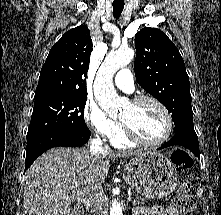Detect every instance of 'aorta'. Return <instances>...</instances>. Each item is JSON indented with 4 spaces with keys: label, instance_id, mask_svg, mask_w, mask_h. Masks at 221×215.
<instances>
[{
    "label": "aorta",
    "instance_id": "aorta-1",
    "mask_svg": "<svg viewBox=\"0 0 221 215\" xmlns=\"http://www.w3.org/2000/svg\"><path fill=\"white\" fill-rule=\"evenodd\" d=\"M134 57V51L130 48L119 49L109 53L98 70L94 95L99 106L109 115L115 116L122 107V102L113 85V75L120 68L128 65ZM110 215H123L120 204L116 199L112 200Z\"/></svg>",
    "mask_w": 221,
    "mask_h": 215
}]
</instances>
